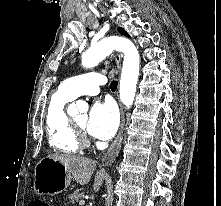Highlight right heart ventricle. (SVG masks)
Wrapping results in <instances>:
<instances>
[{
  "mask_svg": "<svg viewBox=\"0 0 221 206\" xmlns=\"http://www.w3.org/2000/svg\"><path fill=\"white\" fill-rule=\"evenodd\" d=\"M73 99L60 85L50 96L46 110V130L50 145L69 154L77 153L80 149L77 132L65 110Z\"/></svg>",
  "mask_w": 221,
  "mask_h": 206,
  "instance_id": "e07e8e85",
  "label": "right heart ventricle"
}]
</instances>
